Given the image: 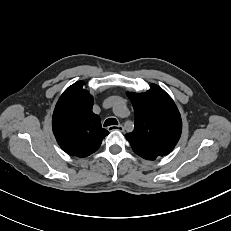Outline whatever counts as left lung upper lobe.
Segmentation results:
<instances>
[{
	"label": "left lung upper lobe",
	"mask_w": 231,
	"mask_h": 231,
	"mask_svg": "<svg viewBox=\"0 0 231 231\" xmlns=\"http://www.w3.org/2000/svg\"><path fill=\"white\" fill-rule=\"evenodd\" d=\"M134 108V130L125 135L134 152L155 160L170 153L182 132V120L172 98L158 85L145 93H128Z\"/></svg>",
	"instance_id": "left-lung-upper-lobe-1"
}]
</instances>
